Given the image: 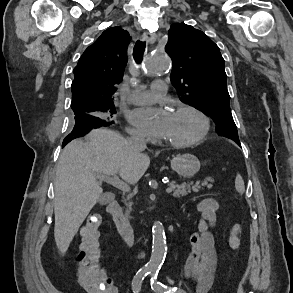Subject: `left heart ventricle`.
<instances>
[{"label":"left heart ventricle","instance_id":"obj_1","mask_svg":"<svg viewBox=\"0 0 293 293\" xmlns=\"http://www.w3.org/2000/svg\"><path fill=\"white\" fill-rule=\"evenodd\" d=\"M201 121L193 113L187 111L172 112L165 140L187 141L196 137L201 130Z\"/></svg>","mask_w":293,"mask_h":293}]
</instances>
